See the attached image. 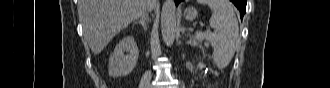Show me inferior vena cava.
Listing matches in <instances>:
<instances>
[{
    "label": "inferior vena cava",
    "instance_id": "obj_1",
    "mask_svg": "<svg viewBox=\"0 0 330 88\" xmlns=\"http://www.w3.org/2000/svg\"><path fill=\"white\" fill-rule=\"evenodd\" d=\"M153 8V4H150V6H149V10H151Z\"/></svg>",
    "mask_w": 330,
    "mask_h": 88
}]
</instances>
